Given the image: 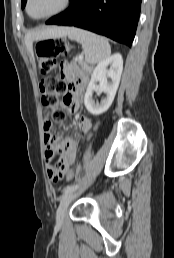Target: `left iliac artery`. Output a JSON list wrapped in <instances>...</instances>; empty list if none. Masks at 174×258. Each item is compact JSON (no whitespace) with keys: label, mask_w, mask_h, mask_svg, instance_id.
I'll return each mask as SVG.
<instances>
[{"label":"left iliac artery","mask_w":174,"mask_h":258,"mask_svg":"<svg viewBox=\"0 0 174 258\" xmlns=\"http://www.w3.org/2000/svg\"><path fill=\"white\" fill-rule=\"evenodd\" d=\"M79 184H73V185H68L64 188L63 192L64 193H68V192H71V191H74L76 190L77 188H79Z\"/></svg>","instance_id":"1"}]
</instances>
